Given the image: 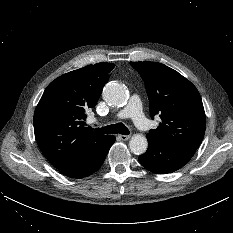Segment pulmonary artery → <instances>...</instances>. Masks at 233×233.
Masks as SVG:
<instances>
[{
  "mask_svg": "<svg viewBox=\"0 0 233 233\" xmlns=\"http://www.w3.org/2000/svg\"><path fill=\"white\" fill-rule=\"evenodd\" d=\"M117 117L121 119L131 118L140 129H146L149 125L142 111L141 99L137 95L130 98L128 105L117 114Z\"/></svg>",
  "mask_w": 233,
  "mask_h": 233,
  "instance_id": "e3ab8cb5",
  "label": "pulmonary artery"
}]
</instances>
